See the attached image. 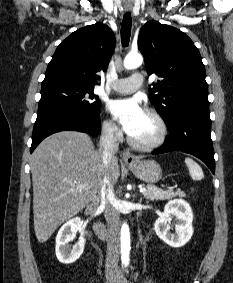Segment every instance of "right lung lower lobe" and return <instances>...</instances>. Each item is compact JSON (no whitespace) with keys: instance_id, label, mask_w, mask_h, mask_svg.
<instances>
[{"instance_id":"98d812e1","label":"right lung lower lobe","mask_w":233,"mask_h":283,"mask_svg":"<svg viewBox=\"0 0 233 283\" xmlns=\"http://www.w3.org/2000/svg\"><path fill=\"white\" fill-rule=\"evenodd\" d=\"M99 114L87 115L61 108H49L38 112L30 152L32 153L44 138L56 132L70 130L97 135L100 129Z\"/></svg>"}]
</instances>
